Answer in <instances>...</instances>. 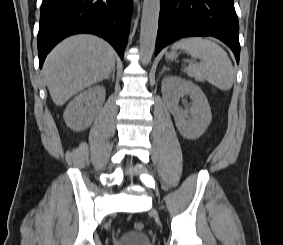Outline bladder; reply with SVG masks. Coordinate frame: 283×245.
Returning a JSON list of instances; mask_svg holds the SVG:
<instances>
[{
	"instance_id": "1",
	"label": "bladder",
	"mask_w": 283,
	"mask_h": 245,
	"mask_svg": "<svg viewBox=\"0 0 283 245\" xmlns=\"http://www.w3.org/2000/svg\"><path fill=\"white\" fill-rule=\"evenodd\" d=\"M114 245H152V241L144 232L129 231L121 235Z\"/></svg>"
}]
</instances>
